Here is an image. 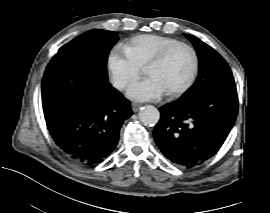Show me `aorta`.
Returning a JSON list of instances; mask_svg holds the SVG:
<instances>
[{"mask_svg":"<svg viewBox=\"0 0 270 213\" xmlns=\"http://www.w3.org/2000/svg\"><path fill=\"white\" fill-rule=\"evenodd\" d=\"M139 119L144 125L154 126L160 119V112L152 105H146L139 111Z\"/></svg>","mask_w":270,"mask_h":213,"instance_id":"1","label":"aorta"}]
</instances>
